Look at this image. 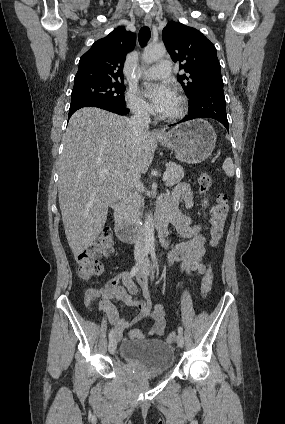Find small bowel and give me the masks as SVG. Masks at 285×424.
I'll return each instance as SVG.
<instances>
[{
  "label": "small bowel",
  "mask_w": 285,
  "mask_h": 424,
  "mask_svg": "<svg viewBox=\"0 0 285 424\" xmlns=\"http://www.w3.org/2000/svg\"><path fill=\"white\" fill-rule=\"evenodd\" d=\"M181 198L185 200L188 207L193 206V193L187 184L178 185L170 195L162 199L161 204L164 207L163 214L168 218L169 223L175 226L179 235L186 240L170 245L162 238L161 244L167 249L168 264L172 265L179 262L180 273L193 277L205 272V266L202 262L205 254V239L201 233V225L195 222L193 218L178 211L177 206ZM204 213V208L200 207L198 215L201 216ZM136 280L142 291V298L135 297L138 293V287L128 278L127 273L117 275L108 281L105 287H91L85 292L84 303L86 308L90 311L96 309L105 311L115 327L114 332L118 339L121 338L125 330L132 328L147 317L154 320V324L149 330L151 335L161 336L166 328L164 304L154 305L151 303L148 279L143 272L136 275ZM120 281L123 282L125 288L120 286ZM179 286L182 287L183 283H180ZM112 298L127 306L137 308L138 315L131 321L125 319L112 303ZM132 331H137L140 334L138 330Z\"/></svg>",
  "instance_id": "1"
}]
</instances>
